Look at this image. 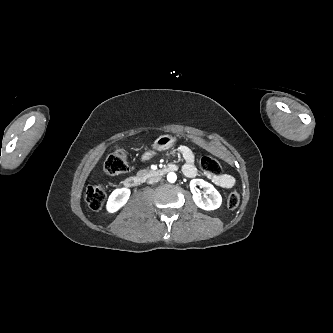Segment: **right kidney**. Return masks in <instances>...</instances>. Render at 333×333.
Wrapping results in <instances>:
<instances>
[{
	"mask_svg": "<svg viewBox=\"0 0 333 333\" xmlns=\"http://www.w3.org/2000/svg\"><path fill=\"white\" fill-rule=\"evenodd\" d=\"M130 196V189L128 188H119L115 189L107 201V211L109 213H114L119 210L122 206L126 204Z\"/></svg>",
	"mask_w": 333,
	"mask_h": 333,
	"instance_id": "1",
	"label": "right kidney"
}]
</instances>
